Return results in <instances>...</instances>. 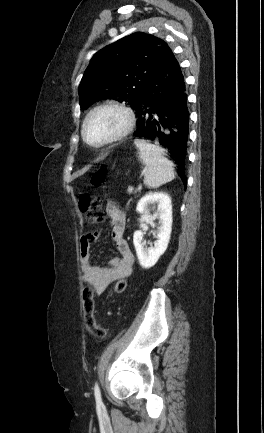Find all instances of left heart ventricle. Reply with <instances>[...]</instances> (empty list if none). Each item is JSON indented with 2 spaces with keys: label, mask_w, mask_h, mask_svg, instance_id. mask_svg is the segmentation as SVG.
<instances>
[{
  "label": "left heart ventricle",
  "mask_w": 264,
  "mask_h": 433,
  "mask_svg": "<svg viewBox=\"0 0 264 433\" xmlns=\"http://www.w3.org/2000/svg\"><path fill=\"white\" fill-rule=\"evenodd\" d=\"M124 116L117 110L106 109L96 113L87 123L86 135L89 141L99 142L121 129Z\"/></svg>",
  "instance_id": "1"
}]
</instances>
